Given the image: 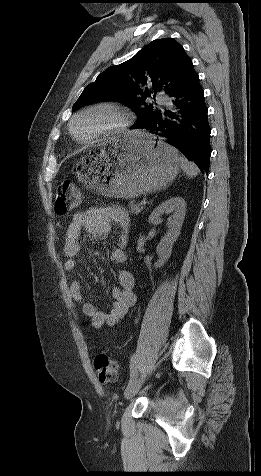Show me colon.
<instances>
[{"label":"colon","mask_w":261,"mask_h":476,"mask_svg":"<svg viewBox=\"0 0 261 476\" xmlns=\"http://www.w3.org/2000/svg\"><path fill=\"white\" fill-rule=\"evenodd\" d=\"M81 194L74 182L65 180L57 189L55 211L64 215L79 206ZM94 367L98 379L103 384L114 383L118 378L116 362L106 353L100 352L94 358Z\"/></svg>","instance_id":"1"}]
</instances>
